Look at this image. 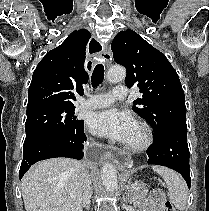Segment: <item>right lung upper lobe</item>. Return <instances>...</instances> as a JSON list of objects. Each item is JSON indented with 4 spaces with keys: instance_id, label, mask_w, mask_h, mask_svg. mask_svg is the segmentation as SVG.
I'll return each instance as SVG.
<instances>
[{
    "instance_id": "right-lung-upper-lobe-1",
    "label": "right lung upper lobe",
    "mask_w": 209,
    "mask_h": 211,
    "mask_svg": "<svg viewBox=\"0 0 209 211\" xmlns=\"http://www.w3.org/2000/svg\"><path fill=\"white\" fill-rule=\"evenodd\" d=\"M90 32H72L37 65L28 90L27 112L44 108H75L73 90L83 93L91 62L86 61Z\"/></svg>"
}]
</instances>
